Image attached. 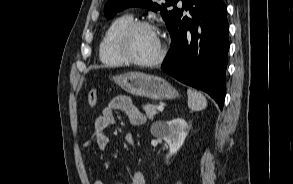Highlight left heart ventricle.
I'll use <instances>...</instances> for the list:
<instances>
[{
    "instance_id": "1",
    "label": "left heart ventricle",
    "mask_w": 293,
    "mask_h": 184,
    "mask_svg": "<svg viewBox=\"0 0 293 184\" xmlns=\"http://www.w3.org/2000/svg\"><path fill=\"white\" fill-rule=\"evenodd\" d=\"M159 50V37L148 28L135 30L129 38L128 51L132 57L138 60H151L158 55Z\"/></svg>"
}]
</instances>
